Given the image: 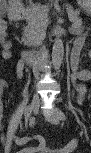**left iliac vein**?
Segmentation results:
<instances>
[{
	"mask_svg": "<svg viewBox=\"0 0 91 153\" xmlns=\"http://www.w3.org/2000/svg\"><path fill=\"white\" fill-rule=\"evenodd\" d=\"M59 119L57 110H54L48 115V121L52 124L57 125L59 123Z\"/></svg>",
	"mask_w": 91,
	"mask_h": 153,
	"instance_id": "left-iliac-vein-1",
	"label": "left iliac vein"
}]
</instances>
